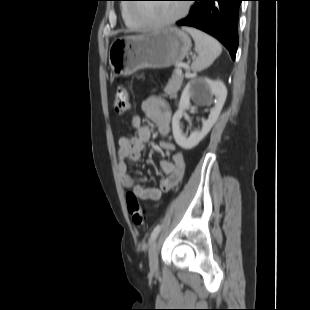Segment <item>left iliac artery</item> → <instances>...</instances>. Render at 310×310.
<instances>
[{"mask_svg":"<svg viewBox=\"0 0 310 310\" xmlns=\"http://www.w3.org/2000/svg\"><path fill=\"white\" fill-rule=\"evenodd\" d=\"M161 230V225L158 224L152 231L151 235H150V242H152L156 237L157 235L159 234Z\"/></svg>","mask_w":310,"mask_h":310,"instance_id":"44dca946","label":"left iliac artery"}]
</instances>
